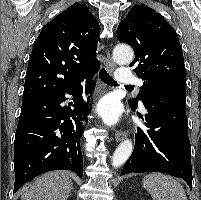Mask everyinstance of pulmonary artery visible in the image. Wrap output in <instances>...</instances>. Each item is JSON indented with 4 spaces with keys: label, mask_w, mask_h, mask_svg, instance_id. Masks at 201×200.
Listing matches in <instances>:
<instances>
[{
    "label": "pulmonary artery",
    "mask_w": 201,
    "mask_h": 200,
    "mask_svg": "<svg viewBox=\"0 0 201 200\" xmlns=\"http://www.w3.org/2000/svg\"><path fill=\"white\" fill-rule=\"evenodd\" d=\"M116 79L120 84H133L137 82L136 76L126 67L119 69Z\"/></svg>",
    "instance_id": "obj_1"
}]
</instances>
